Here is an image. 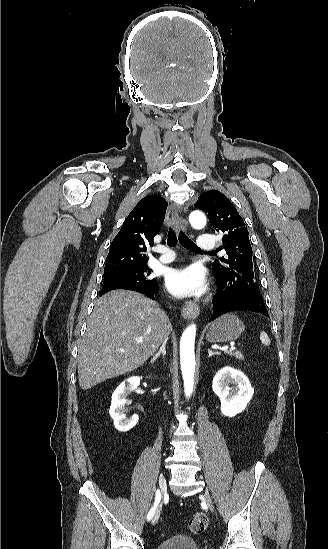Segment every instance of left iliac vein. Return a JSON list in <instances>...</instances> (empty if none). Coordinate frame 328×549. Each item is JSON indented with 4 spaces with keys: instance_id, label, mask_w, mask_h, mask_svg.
Instances as JSON below:
<instances>
[{
    "instance_id": "1",
    "label": "left iliac vein",
    "mask_w": 328,
    "mask_h": 549,
    "mask_svg": "<svg viewBox=\"0 0 328 549\" xmlns=\"http://www.w3.org/2000/svg\"><path fill=\"white\" fill-rule=\"evenodd\" d=\"M205 500H206L208 506L210 507V509L213 510L212 500H211L210 495L207 492L205 493Z\"/></svg>"
}]
</instances>
